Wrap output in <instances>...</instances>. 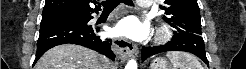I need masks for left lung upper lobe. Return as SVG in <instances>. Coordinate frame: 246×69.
Returning <instances> with one entry per match:
<instances>
[{
	"mask_svg": "<svg viewBox=\"0 0 246 69\" xmlns=\"http://www.w3.org/2000/svg\"><path fill=\"white\" fill-rule=\"evenodd\" d=\"M160 8L166 14L163 19L178 33L201 35L200 11L196 0H165Z\"/></svg>",
	"mask_w": 246,
	"mask_h": 69,
	"instance_id": "5c2ea615",
	"label": "left lung upper lobe"
}]
</instances>
